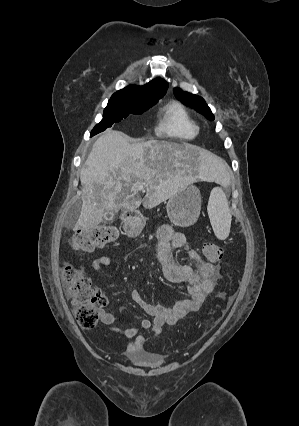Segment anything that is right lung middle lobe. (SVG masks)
<instances>
[{
	"instance_id": "obj_1",
	"label": "right lung middle lobe",
	"mask_w": 299,
	"mask_h": 426,
	"mask_svg": "<svg viewBox=\"0 0 299 426\" xmlns=\"http://www.w3.org/2000/svg\"><path fill=\"white\" fill-rule=\"evenodd\" d=\"M164 92H149L141 95L136 100H123L111 97L107 107L104 109L103 119L91 131V136L104 131L112 126L113 123L121 121L129 114H141L164 96Z\"/></svg>"
}]
</instances>
